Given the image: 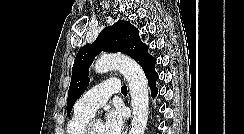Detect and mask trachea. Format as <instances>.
Masks as SVG:
<instances>
[{
	"label": "trachea",
	"instance_id": "3493384b",
	"mask_svg": "<svg viewBox=\"0 0 244 134\" xmlns=\"http://www.w3.org/2000/svg\"><path fill=\"white\" fill-rule=\"evenodd\" d=\"M121 92H122V94L126 95L127 94V87L126 86H122Z\"/></svg>",
	"mask_w": 244,
	"mask_h": 134
}]
</instances>
